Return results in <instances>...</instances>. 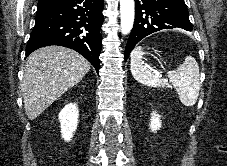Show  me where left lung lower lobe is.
Listing matches in <instances>:
<instances>
[{
    "instance_id": "1",
    "label": "left lung lower lobe",
    "mask_w": 227,
    "mask_h": 166,
    "mask_svg": "<svg viewBox=\"0 0 227 166\" xmlns=\"http://www.w3.org/2000/svg\"><path fill=\"white\" fill-rule=\"evenodd\" d=\"M135 8V22L125 48V60L140 40L154 32L172 28L192 31L184 0H136Z\"/></svg>"
}]
</instances>
